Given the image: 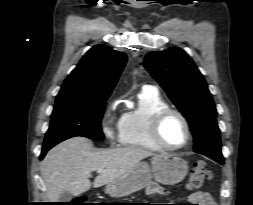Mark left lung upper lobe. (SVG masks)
I'll return each instance as SVG.
<instances>
[{
	"label": "left lung upper lobe",
	"instance_id": "left-lung-upper-lobe-1",
	"mask_svg": "<svg viewBox=\"0 0 253 205\" xmlns=\"http://www.w3.org/2000/svg\"><path fill=\"white\" fill-rule=\"evenodd\" d=\"M144 66L190 124L194 151L221 163L217 111L207 84L192 59L182 49L173 47L148 53Z\"/></svg>",
	"mask_w": 253,
	"mask_h": 205
}]
</instances>
